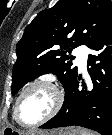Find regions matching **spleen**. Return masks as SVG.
<instances>
[{
	"label": "spleen",
	"mask_w": 112,
	"mask_h": 135,
	"mask_svg": "<svg viewBox=\"0 0 112 135\" xmlns=\"http://www.w3.org/2000/svg\"><path fill=\"white\" fill-rule=\"evenodd\" d=\"M79 135H96V134L90 133L89 131H86V130H82L80 131Z\"/></svg>",
	"instance_id": "3e777b00"
}]
</instances>
